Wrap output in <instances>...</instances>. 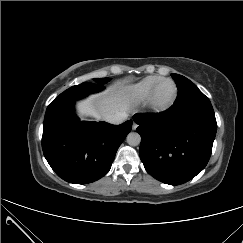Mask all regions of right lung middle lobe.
Listing matches in <instances>:
<instances>
[{"label":"right lung middle lobe","mask_w":243,"mask_h":243,"mask_svg":"<svg viewBox=\"0 0 243 243\" xmlns=\"http://www.w3.org/2000/svg\"><path fill=\"white\" fill-rule=\"evenodd\" d=\"M109 80H110L109 78H98V79H95V82L98 84H104V83L108 82Z\"/></svg>","instance_id":"right-lung-middle-lobe-1"}]
</instances>
